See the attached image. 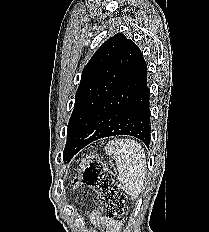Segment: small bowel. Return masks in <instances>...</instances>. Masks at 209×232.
<instances>
[{
	"label": "small bowel",
	"mask_w": 209,
	"mask_h": 232,
	"mask_svg": "<svg viewBox=\"0 0 209 232\" xmlns=\"http://www.w3.org/2000/svg\"><path fill=\"white\" fill-rule=\"evenodd\" d=\"M91 220L95 224L104 226L106 232H116L118 229L117 222L103 216L100 212H94L91 216Z\"/></svg>",
	"instance_id": "small-bowel-1"
}]
</instances>
